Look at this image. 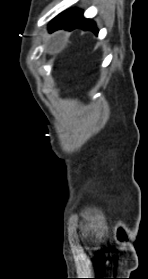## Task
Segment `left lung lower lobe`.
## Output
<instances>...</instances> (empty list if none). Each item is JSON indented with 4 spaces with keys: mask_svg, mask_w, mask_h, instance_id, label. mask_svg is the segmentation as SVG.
<instances>
[{
    "mask_svg": "<svg viewBox=\"0 0 148 279\" xmlns=\"http://www.w3.org/2000/svg\"><path fill=\"white\" fill-rule=\"evenodd\" d=\"M76 28L83 29L85 31L90 30L95 34H98V28L94 21L83 17L82 10L71 9L61 13L49 24V32H54L59 29L74 30Z\"/></svg>",
    "mask_w": 148,
    "mask_h": 279,
    "instance_id": "obj_1",
    "label": "left lung lower lobe"
}]
</instances>
